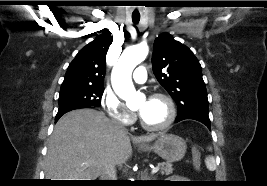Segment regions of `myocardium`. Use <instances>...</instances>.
Here are the masks:
<instances>
[{
	"instance_id": "1",
	"label": "myocardium",
	"mask_w": 267,
	"mask_h": 186,
	"mask_svg": "<svg viewBox=\"0 0 267 186\" xmlns=\"http://www.w3.org/2000/svg\"><path fill=\"white\" fill-rule=\"evenodd\" d=\"M151 98H155V99H162L165 101V103L168 106V116L167 119L160 125L157 126H151L146 124L143 119L141 118V116L139 117V122L140 125L143 129L147 130V131H151V132H157V131H162L167 129L168 127L171 126V124L174 122L175 118H176V106L174 101L172 100V98L170 96H168L165 93H161V92H157L151 95Z\"/></svg>"
}]
</instances>
